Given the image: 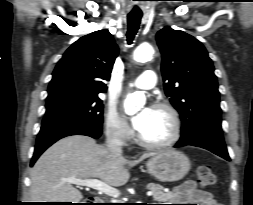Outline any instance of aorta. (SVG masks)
Instances as JSON below:
<instances>
[{
    "label": "aorta",
    "mask_w": 253,
    "mask_h": 205,
    "mask_svg": "<svg viewBox=\"0 0 253 205\" xmlns=\"http://www.w3.org/2000/svg\"><path fill=\"white\" fill-rule=\"evenodd\" d=\"M134 59L137 62H146L152 59L154 55V49L149 44H143L138 46L134 51ZM145 104V95L142 92H136L128 95L124 107L125 112L128 115H132L137 112Z\"/></svg>",
    "instance_id": "aorta-1"
}]
</instances>
